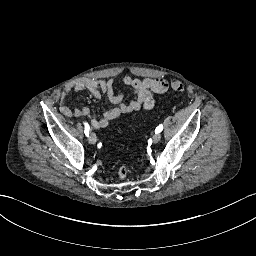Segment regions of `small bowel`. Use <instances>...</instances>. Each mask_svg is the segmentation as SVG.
<instances>
[{
	"label": "small bowel",
	"mask_w": 256,
	"mask_h": 256,
	"mask_svg": "<svg viewBox=\"0 0 256 256\" xmlns=\"http://www.w3.org/2000/svg\"><path fill=\"white\" fill-rule=\"evenodd\" d=\"M123 83L134 93V98L124 102L122 94L116 92V83L113 78H80L63 87L58 93L59 110L67 117L72 115L87 117L90 109L87 106L73 108L68 104V96L72 91H88L95 98L105 95L111 106L104 111L102 118L92 119V126L96 130L106 128L111 121L121 115L136 111H150L155 104V95H161L168 88L167 81L163 78L137 79L128 75L122 77Z\"/></svg>",
	"instance_id": "obj_1"
}]
</instances>
